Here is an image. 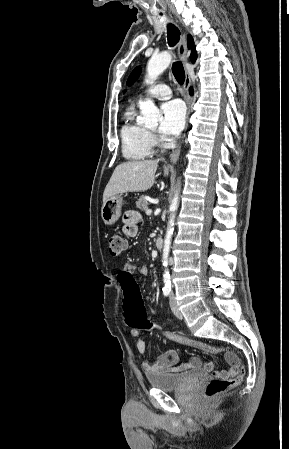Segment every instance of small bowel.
Segmentation results:
<instances>
[{"instance_id":"small-bowel-1","label":"small bowel","mask_w":289,"mask_h":449,"mask_svg":"<svg viewBox=\"0 0 289 449\" xmlns=\"http://www.w3.org/2000/svg\"><path fill=\"white\" fill-rule=\"evenodd\" d=\"M142 216L136 211H127L123 216V233L128 238H134L138 233V224L141 222ZM132 271L134 273L136 267L133 264L124 265L123 269ZM140 271L143 274L147 273L145 267H140ZM131 335L136 339V347L140 354H145L146 343L140 336V331L136 329L131 330ZM183 343V342H180ZM185 344V343H183ZM225 359L229 365L227 369L215 371L216 374L224 377L235 376L240 369V359L237 354L232 351L225 353ZM202 367V362L198 357H191L183 363H178V355L174 350H169L161 354L157 360L152 363L148 360L142 362V369L147 374H158L166 372H181L187 369H199ZM207 370H213V362H207L204 365Z\"/></svg>"}]
</instances>
